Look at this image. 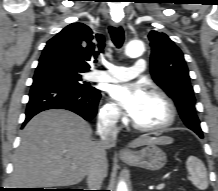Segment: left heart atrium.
<instances>
[{"instance_id": "left-heart-atrium-1", "label": "left heart atrium", "mask_w": 218, "mask_h": 191, "mask_svg": "<svg viewBox=\"0 0 218 191\" xmlns=\"http://www.w3.org/2000/svg\"><path fill=\"white\" fill-rule=\"evenodd\" d=\"M111 96L134 119L147 99L148 92L142 84L132 83L114 86L111 89Z\"/></svg>"}]
</instances>
